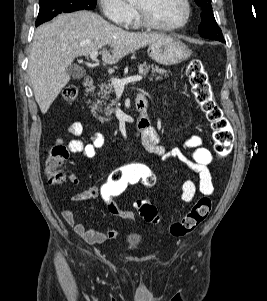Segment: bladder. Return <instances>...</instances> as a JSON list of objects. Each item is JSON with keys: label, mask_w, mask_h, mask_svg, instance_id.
<instances>
[{"label": "bladder", "mask_w": 267, "mask_h": 301, "mask_svg": "<svg viewBox=\"0 0 267 301\" xmlns=\"http://www.w3.org/2000/svg\"><path fill=\"white\" fill-rule=\"evenodd\" d=\"M124 244L129 248H136L144 241L143 236L137 232H130L124 236Z\"/></svg>", "instance_id": "1"}]
</instances>
